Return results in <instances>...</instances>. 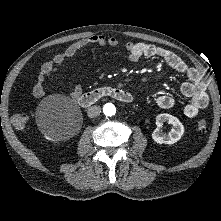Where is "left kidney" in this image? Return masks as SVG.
Here are the masks:
<instances>
[{"label": "left kidney", "instance_id": "obj_1", "mask_svg": "<svg viewBox=\"0 0 221 221\" xmlns=\"http://www.w3.org/2000/svg\"><path fill=\"white\" fill-rule=\"evenodd\" d=\"M164 122H168L173 126V129L168 134H164L160 130ZM156 125L157 128L152 133V138L159 144H174L180 140L184 133V126L179 119L167 113L159 114L156 117Z\"/></svg>", "mask_w": 221, "mask_h": 221}]
</instances>
